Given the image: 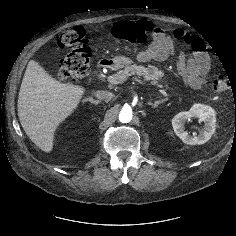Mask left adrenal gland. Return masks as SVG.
I'll list each match as a JSON object with an SVG mask.
<instances>
[{
    "instance_id": "1",
    "label": "left adrenal gland",
    "mask_w": 236,
    "mask_h": 236,
    "mask_svg": "<svg viewBox=\"0 0 236 236\" xmlns=\"http://www.w3.org/2000/svg\"><path fill=\"white\" fill-rule=\"evenodd\" d=\"M167 100H168V98H165L162 100L155 101L154 103L149 102V104L152 106V108H156V107H158L159 104L164 103Z\"/></svg>"
}]
</instances>
